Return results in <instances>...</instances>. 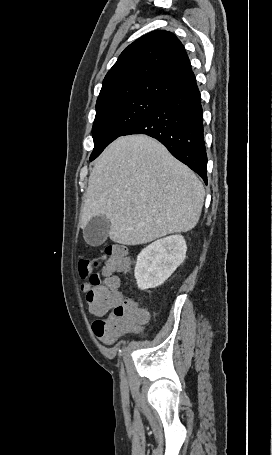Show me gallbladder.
<instances>
[{"label": "gallbladder", "mask_w": 272, "mask_h": 455, "mask_svg": "<svg viewBox=\"0 0 272 455\" xmlns=\"http://www.w3.org/2000/svg\"><path fill=\"white\" fill-rule=\"evenodd\" d=\"M110 220L106 216H96L89 220L83 229V236L91 246H99L105 242L110 231Z\"/></svg>", "instance_id": "1"}]
</instances>
